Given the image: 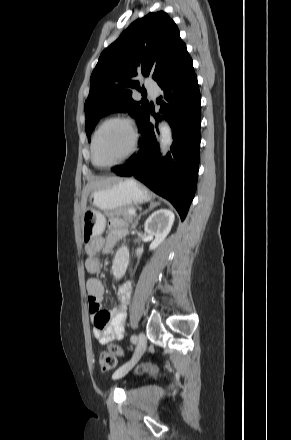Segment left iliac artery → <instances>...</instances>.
I'll use <instances>...</instances> for the list:
<instances>
[{
    "label": "left iliac artery",
    "instance_id": "left-iliac-artery-1",
    "mask_svg": "<svg viewBox=\"0 0 291 440\" xmlns=\"http://www.w3.org/2000/svg\"><path fill=\"white\" fill-rule=\"evenodd\" d=\"M130 340L133 344H135L137 342V336L136 335H131Z\"/></svg>",
    "mask_w": 291,
    "mask_h": 440
}]
</instances>
